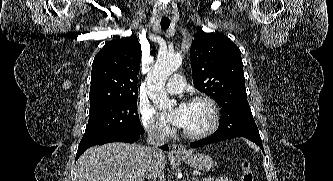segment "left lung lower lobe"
I'll return each mask as SVG.
<instances>
[{"instance_id": "1", "label": "left lung lower lobe", "mask_w": 333, "mask_h": 181, "mask_svg": "<svg viewBox=\"0 0 333 181\" xmlns=\"http://www.w3.org/2000/svg\"><path fill=\"white\" fill-rule=\"evenodd\" d=\"M234 125L235 124H234L233 120H229V119L220 120V125H219L217 131L213 135H211L205 139L193 142L190 144V146L193 148H198V147H201L206 144H210V143H214V142H218V141H222V140H226V139H232V138H236V137H245V138L253 141L254 143H256L261 149H263L261 139H254V138H251L248 136L231 134L230 131L232 130V128H234Z\"/></svg>"}]
</instances>
